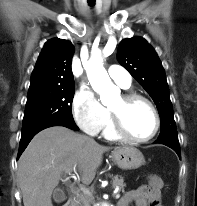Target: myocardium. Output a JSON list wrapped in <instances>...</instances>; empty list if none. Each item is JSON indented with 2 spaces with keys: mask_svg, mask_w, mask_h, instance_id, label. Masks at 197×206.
<instances>
[{
  "mask_svg": "<svg viewBox=\"0 0 197 206\" xmlns=\"http://www.w3.org/2000/svg\"><path fill=\"white\" fill-rule=\"evenodd\" d=\"M121 98L125 105H129L134 102H144L145 104H147L154 115L155 126H154L152 133L149 136L144 137V138L135 137L131 135L129 131L127 130V128L125 127L122 115L119 112L114 111L113 109L109 108L112 126L116 134L121 138L130 140L133 142L144 143V142H148L152 140L157 135L160 129V125H161L160 115L154 103L147 97L141 94H138V93H134V92L125 93L121 96Z\"/></svg>",
  "mask_w": 197,
  "mask_h": 206,
  "instance_id": "obj_1",
  "label": "myocardium"
}]
</instances>
